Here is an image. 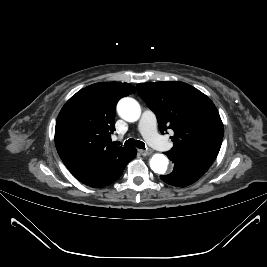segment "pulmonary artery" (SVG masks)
<instances>
[{
    "instance_id": "1",
    "label": "pulmonary artery",
    "mask_w": 267,
    "mask_h": 267,
    "mask_svg": "<svg viewBox=\"0 0 267 267\" xmlns=\"http://www.w3.org/2000/svg\"><path fill=\"white\" fill-rule=\"evenodd\" d=\"M138 129L148 143L158 150H167L170 145L166 142L157 131V119L155 114L150 110L142 113L138 123Z\"/></svg>"
}]
</instances>
